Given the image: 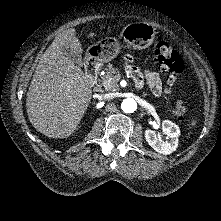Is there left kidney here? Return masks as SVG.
Segmentation results:
<instances>
[{
	"label": "left kidney",
	"instance_id": "left-kidney-1",
	"mask_svg": "<svg viewBox=\"0 0 221 221\" xmlns=\"http://www.w3.org/2000/svg\"><path fill=\"white\" fill-rule=\"evenodd\" d=\"M162 131L169 140L163 141L159 134L149 129L145 131V139L156 152L169 155L177 149L180 129L172 121L164 120L162 122Z\"/></svg>",
	"mask_w": 221,
	"mask_h": 221
}]
</instances>
